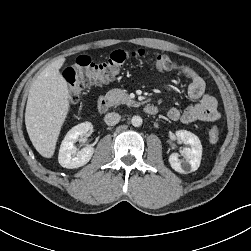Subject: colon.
I'll list each match as a JSON object with an SVG mask.
<instances>
[{
  "mask_svg": "<svg viewBox=\"0 0 251 251\" xmlns=\"http://www.w3.org/2000/svg\"><path fill=\"white\" fill-rule=\"evenodd\" d=\"M131 59L145 60L159 71H170L177 68L176 62L169 55L147 52L143 49L132 51L116 50L102 62H95L87 56H80L74 65L66 68L64 71L70 103H78L85 89L112 80L126 62ZM219 136V129L212 127L209 131L210 142L216 143L219 140Z\"/></svg>",
  "mask_w": 251,
  "mask_h": 251,
  "instance_id": "colon-1",
  "label": "colon"
}]
</instances>
